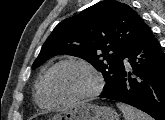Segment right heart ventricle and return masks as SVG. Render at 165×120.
Returning <instances> with one entry per match:
<instances>
[{
  "label": "right heart ventricle",
  "instance_id": "obj_1",
  "mask_svg": "<svg viewBox=\"0 0 165 120\" xmlns=\"http://www.w3.org/2000/svg\"><path fill=\"white\" fill-rule=\"evenodd\" d=\"M35 98L37 103L43 108H52L56 105L46 93L44 87V76L37 83Z\"/></svg>",
  "mask_w": 165,
  "mask_h": 120
}]
</instances>
